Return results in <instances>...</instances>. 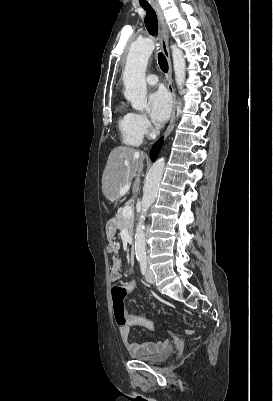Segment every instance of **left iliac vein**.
<instances>
[{
    "label": "left iliac vein",
    "instance_id": "left-iliac-vein-1",
    "mask_svg": "<svg viewBox=\"0 0 273 401\" xmlns=\"http://www.w3.org/2000/svg\"><path fill=\"white\" fill-rule=\"evenodd\" d=\"M145 279L148 283H154V281H155L154 274H153L152 270L149 268L146 270Z\"/></svg>",
    "mask_w": 273,
    "mask_h": 401
}]
</instances>
